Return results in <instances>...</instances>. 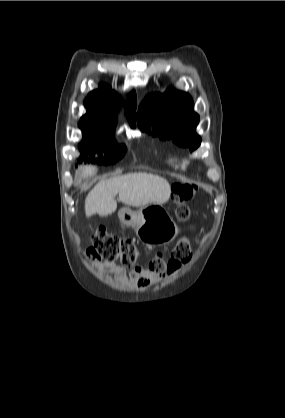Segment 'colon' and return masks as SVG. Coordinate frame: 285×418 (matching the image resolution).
<instances>
[{"label":"colon","mask_w":285,"mask_h":418,"mask_svg":"<svg viewBox=\"0 0 285 418\" xmlns=\"http://www.w3.org/2000/svg\"><path fill=\"white\" fill-rule=\"evenodd\" d=\"M174 194L179 202L176 217L179 221L185 222L190 217V210L186 202L191 199L192 192L175 184ZM88 251L89 256L94 260L105 262L118 260L125 266H131L139 255L132 239L110 234L103 227L97 228L92 234V244ZM191 257L189 241L186 236L182 235L179 237L170 257L166 259L162 254H158L150 263V269L156 275L162 276L188 263Z\"/></svg>","instance_id":"colon-1"}]
</instances>
